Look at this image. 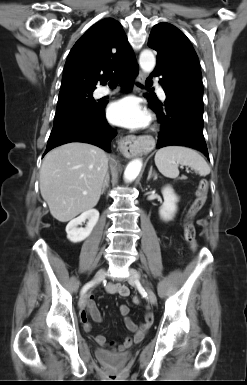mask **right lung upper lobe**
Listing matches in <instances>:
<instances>
[{
	"mask_svg": "<svg viewBox=\"0 0 247 385\" xmlns=\"http://www.w3.org/2000/svg\"><path fill=\"white\" fill-rule=\"evenodd\" d=\"M137 64L119 22L103 19L89 28L71 49L65 63L60 91L94 90L97 82L121 76Z\"/></svg>",
	"mask_w": 247,
	"mask_h": 385,
	"instance_id": "1",
	"label": "right lung upper lobe"
}]
</instances>
